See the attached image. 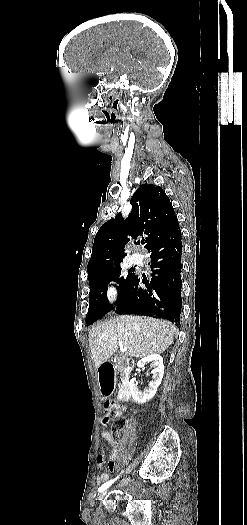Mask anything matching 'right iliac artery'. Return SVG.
Instances as JSON below:
<instances>
[{
    "instance_id": "obj_1",
    "label": "right iliac artery",
    "mask_w": 247,
    "mask_h": 525,
    "mask_svg": "<svg viewBox=\"0 0 247 525\" xmlns=\"http://www.w3.org/2000/svg\"><path fill=\"white\" fill-rule=\"evenodd\" d=\"M117 478H118V477H116L115 479L110 480V481L104 483V484L98 489V491H99V492H103L104 490H106V489H107V488H108V487H109V486H110L115 480H117Z\"/></svg>"
}]
</instances>
